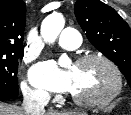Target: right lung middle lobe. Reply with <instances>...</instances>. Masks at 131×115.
Instances as JSON below:
<instances>
[{"label":"right lung middle lobe","instance_id":"dd1d6c3e","mask_svg":"<svg viewBox=\"0 0 131 115\" xmlns=\"http://www.w3.org/2000/svg\"><path fill=\"white\" fill-rule=\"evenodd\" d=\"M20 52L0 54V96L14 98L18 96V57Z\"/></svg>","mask_w":131,"mask_h":115}]
</instances>
